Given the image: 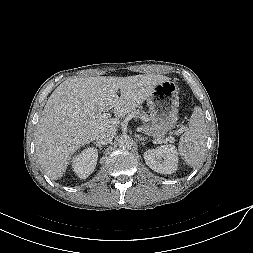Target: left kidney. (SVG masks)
<instances>
[{"label":"left kidney","mask_w":253,"mask_h":253,"mask_svg":"<svg viewBox=\"0 0 253 253\" xmlns=\"http://www.w3.org/2000/svg\"><path fill=\"white\" fill-rule=\"evenodd\" d=\"M146 164L160 174H172L178 168V153L173 145H162L144 152Z\"/></svg>","instance_id":"left-kidney-1"}]
</instances>
